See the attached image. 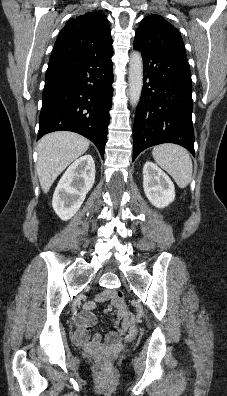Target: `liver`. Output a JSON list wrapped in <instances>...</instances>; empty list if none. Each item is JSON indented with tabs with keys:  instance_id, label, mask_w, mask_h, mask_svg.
Instances as JSON below:
<instances>
[{
	"instance_id": "liver-1",
	"label": "liver",
	"mask_w": 227,
	"mask_h": 396,
	"mask_svg": "<svg viewBox=\"0 0 227 396\" xmlns=\"http://www.w3.org/2000/svg\"><path fill=\"white\" fill-rule=\"evenodd\" d=\"M89 144L85 137L67 131L53 132L39 140L36 170L44 193L69 164L88 150Z\"/></svg>"
}]
</instances>
